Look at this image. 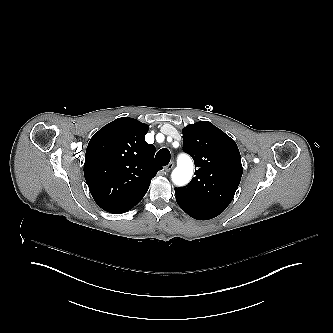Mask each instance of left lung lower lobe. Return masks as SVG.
Wrapping results in <instances>:
<instances>
[{
	"instance_id": "left-lung-lower-lobe-1",
	"label": "left lung lower lobe",
	"mask_w": 333,
	"mask_h": 333,
	"mask_svg": "<svg viewBox=\"0 0 333 333\" xmlns=\"http://www.w3.org/2000/svg\"><path fill=\"white\" fill-rule=\"evenodd\" d=\"M178 205L191 217L197 220H208L218 216L219 212L199 208L186 202L176 200Z\"/></svg>"
}]
</instances>
